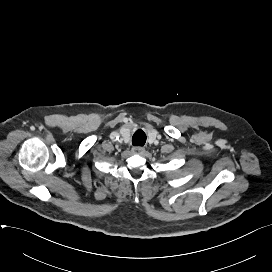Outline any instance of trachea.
<instances>
[{
    "instance_id": "obj_1",
    "label": "trachea",
    "mask_w": 272,
    "mask_h": 272,
    "mask_svg": "<svg viewBox=\"0 0 272 272\" xmlns=\"http://www.w3.org/2000/svg\"><path fill=\"white\" fill-rule=\"evenodd\" d=\"M146 142V134L139 130L132 137V144L134 146H143Z\"/></svg>"
}]
</instances>
